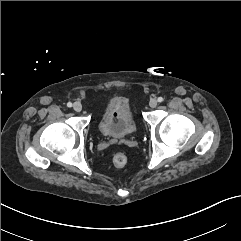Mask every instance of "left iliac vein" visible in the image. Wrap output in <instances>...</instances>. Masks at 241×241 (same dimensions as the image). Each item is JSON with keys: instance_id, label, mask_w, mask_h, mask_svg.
Returning <instances> with one entry per match:
<instances>
[{"instance_id": "4c4485c4", "label": "left iliac vein", "mask_w": 241, "mask_h": 241, "mask_svg": "<svg viewBox=\"0 0 241 241\" xmlns=\"http://www.w3.org/2000/svg\"><path fill=\"white\" fill-rule=\"evenodd\" d=\"M149 105L151 108H155L157 106V100L156 99H151L149 102Z\"/></svg>"}]
</instances>
